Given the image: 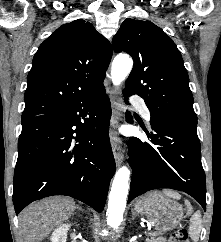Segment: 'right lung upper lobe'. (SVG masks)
<instances>
[{"label": "right lung upper lobe", "mask_w": 221, "mask_h": 242, "mask_svg": "<svg viewBox=\"0 0 221 242\" xmlns=\"http://www.w3.org/2000/svg\"><path fill=\"white\" fill-rule=\"evenodd\" d=\"M112 53L90 22L78 19L60 26L34 55L22 120L65 109L96 92Z\"/></svg>", "instance_id": "1"}]
</instances>
